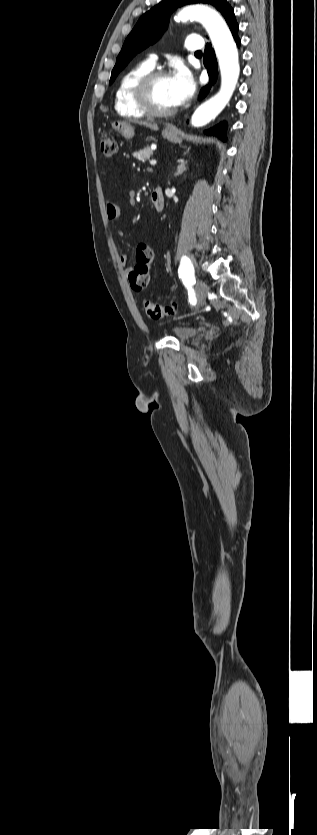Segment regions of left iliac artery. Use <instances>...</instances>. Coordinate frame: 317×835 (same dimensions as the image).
<instances>
[{
  "label": "left iliac artery",
  "mask_w": 317,
  "mask_h": 835,
  "mask_svg": "<svg viewBox=\"0 0 317 835\" xmlns=\"http://www.w3.org/2000/svg\"><path fill=\"white\" fill-rule=\"evenodd\" d=\"M179 278L186 287L195 284L194 268L187 256H182L178 269Z\"/></svg>",
  "instance_id": "left-iliac-artery-1"
}]
</instances>
